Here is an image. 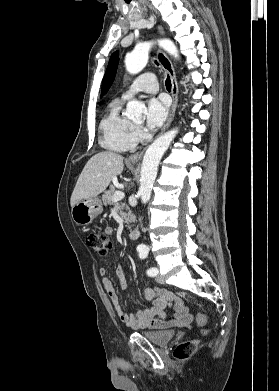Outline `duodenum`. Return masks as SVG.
Returning <instances> with one entry per match:
<instances>
[{
    "mask_svg": "<svg viewBox=\"0 0 279 391\" xmlns=\"http://www.w3.org/2000/svg\"><path fill=\"white\" fill-rule=\"evenodd\" d=\"M139 237H140V231H139V229L136 228V227L132 228V230L130 231V234H129V238H130L132 241H135V240H137Z\"/></svg>",
    "mask_w": 279,
    "mask_h": 391,
    "instance_id": "duodenum-1",
    "label": "duodenum"
}]
</instances>
